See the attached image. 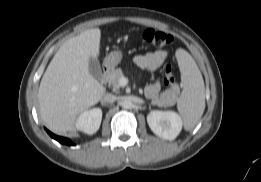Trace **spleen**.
<instances>
[{"instance_id": "obj_1", "label": "spleen", "mask_w": 261, "mask_h": 182, "mask_svg": "<svg viewBox=\"0 0 261 182\" xmlns=\"http://www.w3.org/2000/svg\"><path fill=\"white\" fill-rule=\"evenodd\" d=\"M176 58L184 84L177 108L183 118L184 128L192 130L205 109L204 81L195 60L186 50L178 49Z\"/></svg>"}]
</instances>
